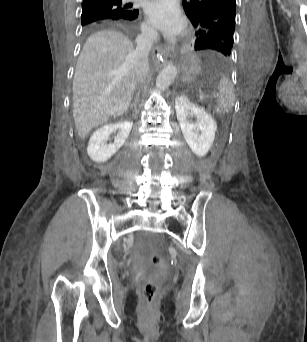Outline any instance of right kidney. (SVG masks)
Masks as SVG:
<instances>
[{
	"mask_svg": "<svg viewBox=\"0 0 307 342\" xmlns=\"http://www.w3.org/2000/svg\"><path fill=\"white\" fill-rule=\"evenodd\" d=\"M132 126L133 122H130V120H122V122L107 124V126H102V128L96 130L88 142L87 154L89 158H91L93 162H97V164L107 162L109 158H112L113 154L118 152L124 142H126L132 130ZM118 128H120L121 132L114 138L113 144H107L110 134L115 132V130H118Z\"/></svg>",
	"mask_w": 307,
	"mask_h": 342,
	"instance_id": "ca27d5eb",
	"label": "right kidney"
}]
</instances>
